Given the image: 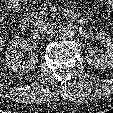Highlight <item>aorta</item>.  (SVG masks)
I'll return each instance as SVG.
<instances>
[{"label":"aorta","instance_id":"obj_1","mask_svg":"<svg viewBox=\"0 0 113 113\" xmlns=\"http://www.w3.org/2000/svg\"><path fill=\"white\" fill-rule=\"evenodd\" d=\"M75 34V26L70 23L61 25L58 30V36L62 40L71 39Z\"/></svg>","mask_w":113,"mask_h":113}]
</instances>
